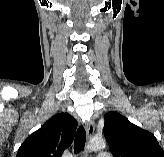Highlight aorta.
<instances>
[{
  "instance_id": "1",
  "label": "aorta",
  "mask_w": 164,
  "mask_h": 157,
  "mask_svg": "<svg viewBox=\"0 0 164 157\" xmlns=\"http://www.w3.org/2000/svg\"><path fill=\"white\" fill-rule=\"evenodd\" d=\"M105 147H106V143L104 140L92 139L87 145V150L97 151V150H102Z\"/></svg>"
}]
</instances>
